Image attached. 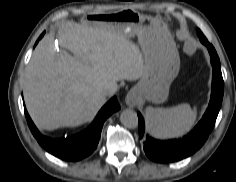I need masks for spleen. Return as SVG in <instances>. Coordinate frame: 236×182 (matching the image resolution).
Here are the masks:
<instances>
[{
  "label": "spleen",
  "instance_id": "3e777b00",
  "mask_svg": "<svg viewBox=\"0 0 236 182\" xmlns=\"http://www.w3.org/2000/svg\"><path fill=\"white\" fill-rule=\"evenodd\" d=\"M196 115V108L192 109L187 103L169 108L148 107L145 111L147 129L158 138L185 134L194 125Z\"/></svg>",
  "mask_w": 236,
  "mask_h": 182
}]
</instances>
